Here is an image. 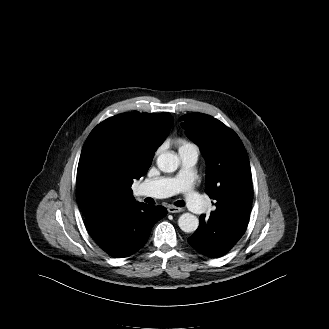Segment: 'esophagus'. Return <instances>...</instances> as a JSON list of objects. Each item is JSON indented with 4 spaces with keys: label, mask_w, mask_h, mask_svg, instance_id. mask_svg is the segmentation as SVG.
Segmentation results:
<instances>
[{
    "label": "esophagus",
    "mask_w": 329,
    "mask_h": 329,
    "mask_svg": "<svg viewBox=\"0 0 329 329\" xmlns=\"http://www.w3.org/2000/svg\"><path fill=\"white\" fill-rule=\"evenodd\" d=\"M167 210H168L169 213H179V212L183 211L182 208L176 207V206H173V205H169Z\"/></svg>",
    "instance_id": "esophagus-1"
}]
</instances>
